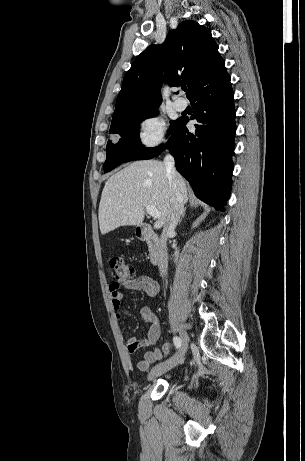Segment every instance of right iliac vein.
<instances>
[{"instance_id":"63e3f726","label":"right iliac vein","mask_w":305,"mask_h":461,"mask_svg":"<svg viewBox=\"0 0 305 461\" xmlns=\"http://www.w3.org/2000/svg\"><path fill=\"white\" fill-rule=\"evenodd\" d=\"M180 337L182 344L179 348V350L167 361L158 364L155 366L149 373L148 375V380H153L156 377L162 375L163 373L171 370L174 368L177 364L183 361L184 356L187 351L188 347V342H189V336L187 332L184 329H180Z\"/></svg>"}]
</instances>
